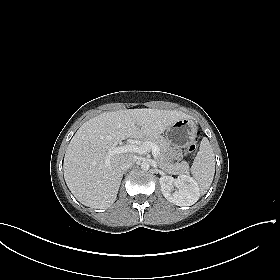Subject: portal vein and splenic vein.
Segmentation results:
<instances>
[{
    "instance_id": "18ae733b",
    "label": "portal vein and splenic vein",
    "mask_w": 280,
    "mask_h": 280,
    "mask_svg": "<svg viewBox=\"0 0 280 280\" xmlns=\"http://www.w3.org/2000/svg\"><path fill=\"white\" fill-rule=\"evenodd\" d=\"M152 151V155L154 158H156L159 155L160 149L157 144L151 142V141H146L142 143L141 145H135V144H127L123 146H117L108 151V155L112 156L115 154H120V153H138V154H145L148 151ZM106 166H109L110 161L109 159H106L105 161Z\"/></svg>"
}]
</instances>
